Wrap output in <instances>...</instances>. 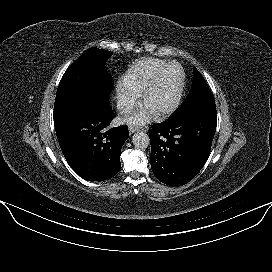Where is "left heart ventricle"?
Masks as SVG:
<instances>
[{
  "mask_svg": "<svg viewBox=\"0 0 272 272\" xmlns=\"http://www.w3.org/2000/svg\"><path fill=\"white\" fill-rule=\"evenodd\" d=\"M180 79L179 68L176 66L169 68L160 84L146 100L145 105L154 113L171 105L175 99Z\"/></svg>",
  "mask_w": 272,
  "mask_h": 272,
  "instance_id": "obj_1",
  "label": "left heart ventricle"
}]
</instances>
